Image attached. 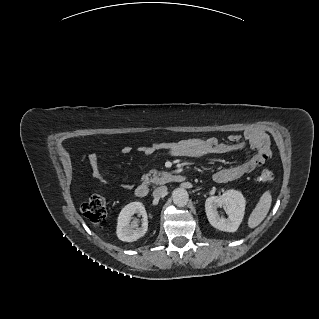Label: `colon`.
Returning a JSON list of instances; mask_svg holds the SVG:
<instances>
[{
  "label": "colon",
  "mask_w": 319,
  "mask_h": 319,
  "mask_svg": "<svg viewBox=\"0 0 319 319\" xmlns=\"http://www.w3.org/2000/svg\"><path fill=\"white\" fill-rule=\"evenodd\" d=\"M261 154L269 158L271 155L269 144L266 143L261 148ZM263 181H272L274 174L269 170H264L260 174ZM81 211L83 215L91 222H100L106 216V200L102 195H91L82 205Z\"/></svg>",
  "instance_id": "5ec220e1"
}]
</instances>
